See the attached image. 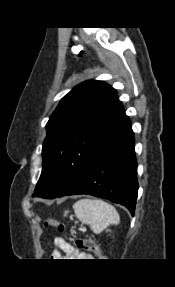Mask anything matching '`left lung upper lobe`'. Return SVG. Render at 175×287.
<instances>
[{"mask_svg":"<svg viewBox=\"0 0 175 287\" xmlns=\"http://www.w3.org/2000/svg\"><path fill=\"white\" fill-rule=\"evenodd\" d=\"M129 122L110 85L89 80L74 87L62 98L46 125L43 168L35 196L56 197Z\"/></svg>","mask_w":175,"mask_h":287,"instance_id":"obj_1","label":"left lung upper lobe"}]
</instances>
